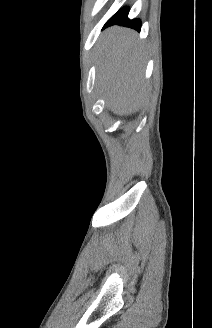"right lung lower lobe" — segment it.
Wrapping results in <instances>:
<instances>
[{
    "instance_id": "right-lung-lower-lobe-1",
    "label": "right lung lower lobe",
    "mask_w": 212,
    "mask_h": 328,
    "mask_svg": "<svg viewBox=\"0 0 212 328\" xmlns=\"http://www.w3.org/2000/svg\"><path fill=\"white\" fill-rule=\"evenodd\" d=\"M128 12H129V8H122L120 9L118 12H116L105 24V27L114 25V24H118V25H123V26H127L130 28H133L137 31H140L141 29V21L139 19H132L130 20L128 18Z\"/></svg>"
}]
</instances>
